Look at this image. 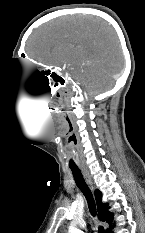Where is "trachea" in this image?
<instances>
[{"instance_id": "1", "label": "trachea", "mask_w": 145, "mask_h": 233, "mask_svg": "<svg viewBox=\"0 0 145 233\" xmlns=\"http://www.w3.org/2000/svg\"><path fill=\"white\" fill-rule=\"evenodd\" d=\"M70 169L72 171L76 185L78 186V188L82 191V193L86 197L91 215L93 217H95L96 216V205L94 202V198H93V195H92L90 189L88 188L87 184L85 183V180L82 176L80 169L79 168H72V167H70ZM98 233H105L104 228L100 226L98 228Z\"/></svg>"}]
</instances>
